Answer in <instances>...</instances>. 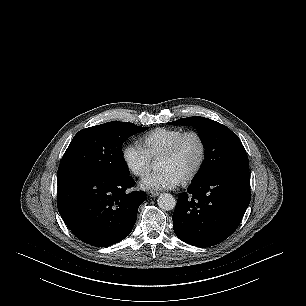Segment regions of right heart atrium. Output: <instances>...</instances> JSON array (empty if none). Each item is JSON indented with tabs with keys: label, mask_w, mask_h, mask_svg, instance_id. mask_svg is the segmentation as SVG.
Wrapping results in <instances>:
<instances>
[{
	"label": "right heart atrium",
	"mask_w": 306,
	"mask_h": 306,
	"mask_svg": "<svg viewBox=\"0 0 306 306\" xmlns=\"http://www.w3.org/2000/svg\"><path fill=\"white\" fill-rule=\"evenodd\" d=\"M126 168L136 177H145L152 169V157L138 143L126 145L122 151Z\"/></svg>",
	"instance_id": "obj_1"
}]
</instances>
